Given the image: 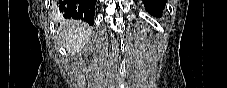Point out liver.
<instances>
[{
	"instance_id": "obj_1",
	"label": "liver",
	"mask_w": 227,
	"mask_h": 88,
	"mask_svg": "<svg viewBox=\"0 0 227 88\" xmlns=\"http://www.w3.org/2000/svg\"><path fill=\"white\" fill-rule=\"evenodd\" d=\"M90 36V31L84 27L75 23L66 24L65 29L61 33L63 46L69 52H79L82 49Z\"/></svg>"
}]
</instances>
